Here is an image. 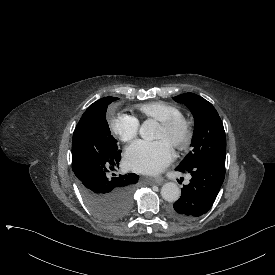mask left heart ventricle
<instances>
[{
    "mask_svg": "<svg viewBox=\"0 0 275 275\" xmlns=\"http://www.w3.org/2000/svg\"><path fill=\"white\" fill-rule=\"evenodd\" d=\"M155 139H167L166 133H165V131H164V129L162 127H160V129L158 130Z\"/></svg>",
    "mask_w": 275,
    "mask_h": 275,
    "instance_id": "left-heart-ventricle-1",
    "label": "left heart ventricle"
}]
</instances>
